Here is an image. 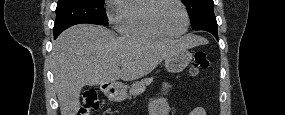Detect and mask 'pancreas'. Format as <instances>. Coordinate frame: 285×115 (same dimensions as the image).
I'll return each instance as SVG.
<instances>
[{
	"label": "pancreas",
	"mask_w": 285,
	"mask_h": 115,
	"mask_svg": "<svg viewBox=\"0 0 285 115\" xmlns=\"http://www.w3.org/2000/svg\"><path fill=\"white\" fill-rule=\"evenodd\" d=\"M151 82H152L151 78H144L140 81L133 83L130 88V94L139 95L143 93L146 89V86H148Z\"/></svg>",
	"instance_id": "cf45deb5"
}]
</instances>
